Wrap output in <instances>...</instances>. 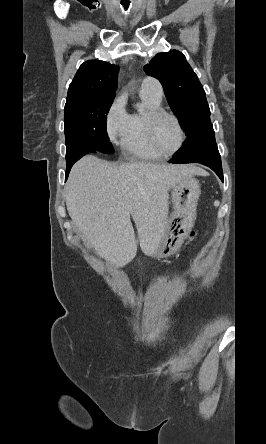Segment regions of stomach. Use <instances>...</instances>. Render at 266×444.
<instances>
[{"instance_id":"0dacf381","label":"stomach","mask_w":266,"mask_h":444,"mask_svg":"<svg viewBox=\"0 0 266 444\" xmlns=\"http://www.w3.org/2000/svg\"><path fill=\"white\" fill-rule=\"evenodd\" d=\"M200 194L199 181L192 176L184 178L171 188L174 211L167 221L162 240L150 256L169 255L174 250L172 241H180L185 237L193 227Z\"/></svg>"}]
</instances>
